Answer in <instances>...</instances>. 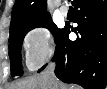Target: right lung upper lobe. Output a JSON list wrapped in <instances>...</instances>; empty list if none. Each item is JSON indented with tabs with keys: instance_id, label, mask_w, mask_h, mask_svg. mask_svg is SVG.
Returning <instances> with one entry per match:
<instances>
[{
	"instance_id": "cb5924a9",
	"label": "right lung upper lobe",
	"mask_w": 107,
	"mask_h": 89,
	"mask_svg": "<svg viewBox=\"0 0 107 89\" xmlns=\"http://www.w3.org/2000/svg\"><path fill=\"white\" fill-rule=\"evenodd\" d=\"M48 17L46 0H15L10 28Z\"/></svg>"
}]
</instances>
